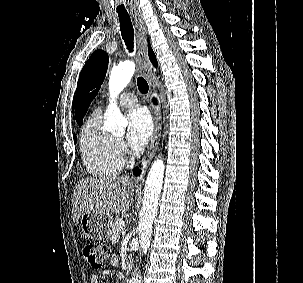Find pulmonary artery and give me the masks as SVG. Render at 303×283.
<instances>
[{
  "mask_svg": "<svg viewBox=\"0 0 303 283\" xmlns=\"http://www.w3.org/2000/svg\"><path fill=\"white\" fill-rule=\"evenodd\" d=\"M118 103H119V105L126 106V107L134 106L137 103V98L133 93L125 92L118 99Z\"/></svg>",
  "mask_w": 303,
  "mask_h": 283,
  "instance_id": "obj_1",
  "label": "pulmonary artery"
}]
</instances>
